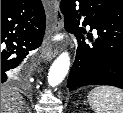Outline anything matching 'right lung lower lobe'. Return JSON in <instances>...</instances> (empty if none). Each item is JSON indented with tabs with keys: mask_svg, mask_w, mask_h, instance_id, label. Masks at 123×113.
I'll return each instance as SVG.
<instances>
[{
	"mask_svg": "<svg viewBox=\"0 0 123 113\" xmlns=\"http://www.w3.org/2000/svg\"><path fill=\"white\" fill-rule=\"evenodd\" d=\"M45 22L41 0H16L1 8V83L6 81L9 70L20 66L30 50L40 46Z\"/></svg>",
	"mask_w": 123,
	"mask_h": 113,
	"instance_id": "right-lung-lower-lobe-1",
	"label": "right lung lower lobe"
}]
</instances>
